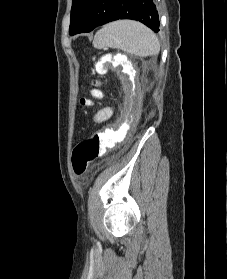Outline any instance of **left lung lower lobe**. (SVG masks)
<instances>
[{
	"instance_id": "left-lung-lower-lobe-1",
	"label": "left lung lower lobe",
	"mask_w": 227,
	"mask_h": 279,
	"mask_svg": "<svg viewBox=\"0 0 227 279\" xmlns=\"http://www.w3.org/2000/svg\"><path fill=\"white\" fill-rule=\"evenodd\" d=\"M118 19L137 20L154 32L159 31L158 12L152 0H93L82 27L73 35Z\"/></svg>"
}]
</instances>
